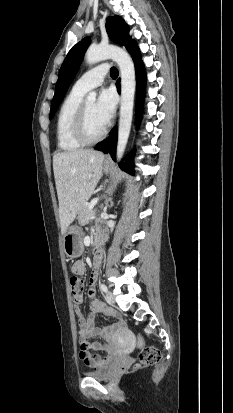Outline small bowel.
I'll return each instance as SVG.
<instances>
[{
    "mask_svg": "<svg viewBox=\"0 0 233 413\" xmlns=\"http://www.w3.org/2000/svg\"><path fill=\"white\" fill-rule=\"evenodd\" d=\"M73 261L75 264L72 266L71 274L73 276H82L85 273L83 256L75 255ZM88 295L91 298V302L89 314L86 317L80 308L84 301L83 294L80 292L73 294L74 311L79 326V358L87 366L99 369L106 367L123 348L120 337L122 318L117 311L96 297L93 285L89 287ZM98 314L114 318L115 322L109 326L96 328L95 321ZM92 337H101L104 341L89 342L88 340ZM93 352H103L104 356Z\"/></svg>",
    "mask_w": 233,
    "mask_h": 413,
    "instance_id": "1",
    "label": "small bowel"
}]
</instances>
